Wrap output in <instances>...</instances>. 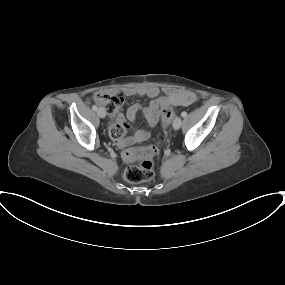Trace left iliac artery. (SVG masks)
I'll use <instances>...</instances> for the list:
<instances>
[{"label": "left iliac artery", "mask_w": 285, "mask_h": 285, "mask_svg": "<svg viewBox=\"0 0 285 285\" xmlns=\"http://www.w3.org/2000/svg\"><path fill=\"white\" fill-rule=\"evenodd\" d=\"M181 116H182V117H186V116H187V113H186V112H182V113H181Z\"/></svg>", "instance_id": "1"}]
</instances>
